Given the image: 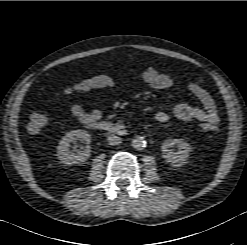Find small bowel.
<instances>
[{
  "instance_id": "c3829d8e",
  "label": "small bowel",
  "mask_w": 247,
  "mask_h": 245,
  "mask_svg": "<svg viewBox=\"0 0 247 245\" xmlns=\"http://www.w3.org/2000/svg\"><path fill=\"white\" fill-rule=\"evenodd\" d=\"M141 79L151 89L156 91H163L173 86V79L170 75L160 72L154 67H148L143 70L141 73ZM116 84V79L111 77L107 88L114 87ZM187 89L200 102L201 107L187 103H178L173 106L170 112L158 111L155 114V119L160 123H166L174 117L184 122L196 120L200 123L208 122L217 126L220 122V116L218 114L216 103L210 93L194 82L188 83ZM71 113L86 126L98 121L101 117L100 109L95 107L88 111L79 104H74L71 107Z\"/></svg>"
}]
</instances>
